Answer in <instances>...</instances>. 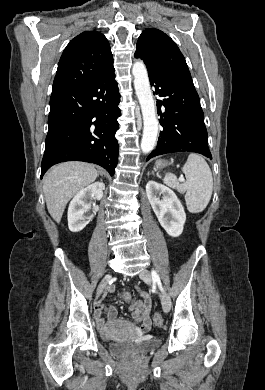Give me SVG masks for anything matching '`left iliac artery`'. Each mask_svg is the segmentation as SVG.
Returning <instances> with one entry per match:
<instances>
[{
    "instance_id": "obj_1",
    "label": "left iliac artery",
    "mask_w": 265,
    "mask_h": 390,
    "mask_svg": "<svg viewBox=\"0 0 265 390\" xmlns=\"http://www.w3.org/2000/svg\"><path fill=\"white\" fill-rule=\"evenodd\" d=\"M152 279H153V281L157 282L160 289L163 290L160 278H159L158 274L156 273V271H154V270H152Z\"/></svg>"
}]
</instances>
